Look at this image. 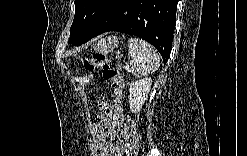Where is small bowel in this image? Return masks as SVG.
Segmentation results:
<instances>
[{
    "instance_id": "obj_1",
    "label": "small bowel",
    "mask_w": 247,
    "mask_h": 156,
    "mask_svg": "<svg viewBox=\"0 0 247 156\" xmlns=\"http://www.w3.org/2000/svg\"><path fill=\"white\" fill-rule=\"evenodd\" d=\"M122 91H114L111 102L101 100V115L96 118L93 137L96 141L95 150L98 155L123 156L131 146L132 137L122 111Z\"/></svg>"
}]
</instances>
